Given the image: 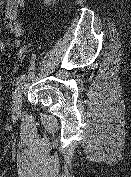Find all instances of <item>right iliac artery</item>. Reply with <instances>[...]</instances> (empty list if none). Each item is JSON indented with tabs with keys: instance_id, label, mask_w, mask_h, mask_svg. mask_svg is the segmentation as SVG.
<instances>
[{
	"instance_id": "1",
	"label": "right iliac artery",
	"mask_w": 131,
	"mask_h": 177,
	"mask_svg": "<svg viewBox=\"0 0 131 177\" xmlns=\"http://www.w3.org/2000/svg\"><path fill=\"white\" fill-rule=\"evenodd\" d=\"M26 80V74H22L17 78L16 81V91L20 89V86L25 82Z\"/></svg>"
}]
</instances>
